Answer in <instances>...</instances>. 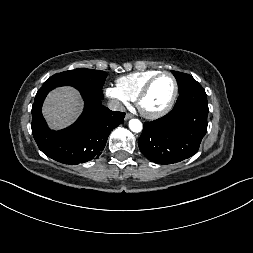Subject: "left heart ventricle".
Here are the masks:
<instances>
[{
    "instance_id": "1",
    "label": "left heart ventricle",
    "mask_w": 253,
    "mask_h": 253,
    "mask_svg": "<svg viewBox=\"0 0 253 253\" xmlns=\"http://www.w3.org/2000/svg\"><path fill=\"white\" fill-rule=\"evenodd\" d=\"M173 89L174 84L171 77L165 75L158 78L142 102L144 109L155 112L164 108L172 96Z\"/></svg>"
}]
</instances>
